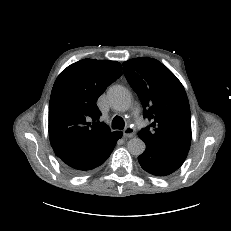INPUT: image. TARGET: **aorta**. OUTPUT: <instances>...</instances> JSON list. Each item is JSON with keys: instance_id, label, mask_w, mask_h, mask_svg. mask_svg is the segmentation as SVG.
I'll use <instances>...</instances> for the list:
<instances>
[{"instance_id": "762f6f07", "label": "aorta", "mask_w": 231, "mask_h": 231, "mask_svg": "<svg viewBox=\"0 0 231 231\" xmlns=\"http://www.w3.org/2000/svg\"><path fill=\"white\" fill-rule=\"evenodd\" d=\"M108 99L111 106L118 111H126L131 106L130 92L122 86L110 88ZM127 149L132 155L139 156L144 153L146 145L142 139L134 137L128 141Z\"/></svg>"}]
</instances>
